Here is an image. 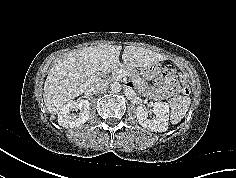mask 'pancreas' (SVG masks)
I'll use <instances>...</instances> for the list:
<instances>
[{"instance_id": "cf45deb5", "label": "pancreas", "mask_w": 236, "mask_h": 178, "mask_svg": "<svg viewBox=\"0 0 236 178\" xmlns=\"http://www.w3.org/2000/svg\"><path fill=\"white\" fill-rule=\"evenodd\" d=\"M126 71L128 77L134 82L136 88L141 92L144 96L149 97H160V93H156V95L152 94L150 87L145 83V81L140 77L137 70L132 68H118L113 72V78L115 80H119L121 77L119 75V71Z\"/></svg>"}]
</instances>
